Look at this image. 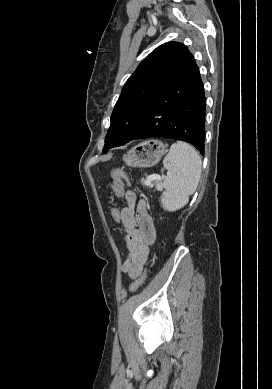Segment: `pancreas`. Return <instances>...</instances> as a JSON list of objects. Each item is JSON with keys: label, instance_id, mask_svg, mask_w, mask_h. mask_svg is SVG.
<instances>
[{"label": "pancreas", "instance_id": "cf45deb5", "mask_svg": "<svg viewBox=\"0 0 272 389\" xmlns=\"http://www.w3.org/2000/svg\"><path fill=\"white\" fill-rule=\"evenodd\" d=\"M143 184H145V185H146V181H143ZM150 186H153V184H151Z\"/></svg>", "mask_w": 272, "mask_h": 389}]
</instances>
